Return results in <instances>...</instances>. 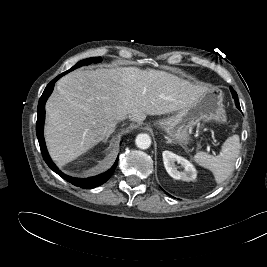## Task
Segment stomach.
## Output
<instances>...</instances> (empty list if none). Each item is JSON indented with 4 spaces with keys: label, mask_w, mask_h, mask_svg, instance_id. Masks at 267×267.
I'll return each instance as SVG.
<instances>
[{
    "label": "stomach",
    "mask_w": 267,
    "mask_h": 267,
    "mask_svg": "<svg viewBox=\"0 0 267 267\" xmlns=\"http://www.w3.org/2000/svg\"><path fill=\"white\" fill-rule=\"evenodd\" d=\"M226 120L222 92L209 90L193 105L177 110L170 117L156 121L154 125L161 128L175 143L185 146L193 141L192 129L200 121L224 124Z\"/></svg>",
    "instance_id": "stomach-1"
}]
</instances>
